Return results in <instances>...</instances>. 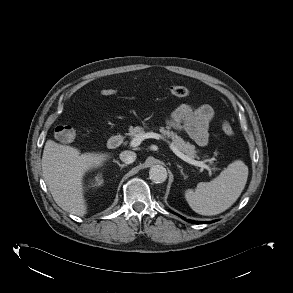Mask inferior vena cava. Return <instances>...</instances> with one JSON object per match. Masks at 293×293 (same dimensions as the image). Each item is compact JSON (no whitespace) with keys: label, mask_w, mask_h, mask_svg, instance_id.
<instances>
[{"label":"inferior vena cava","mask_w":293,"mask_h":293,"mask_svg":"<svg viewBox=\"0 0 293 293\" xmlns=\"http://www.w3.org/2000/svg\"><path fill=\"white\" fill-rule=\"evenodd\" d=\"M120 159L126 164H131L136 160V153L133 151H123L120 153Z\"/></svg>","instance_id":"602c4592"}]
</instances>
